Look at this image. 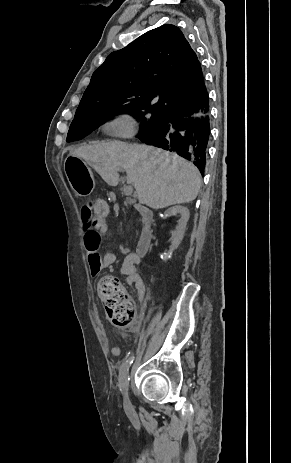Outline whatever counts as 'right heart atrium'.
I'll return each instance as SVG.
<instances>
[{
    "label": "right heart atrium",
    "mask_w": 291,
    "mask_h": 463,
    "mask_svg": "<svg viewBox=\"0 0 291 463\" xmlns=\"http://www.w3.org/2000/svg\"><path fill=\"white\" fill-rule=\"evenodd\" d=\"M107 131L116 137H128L135 132V121L129 114H119L107 123Z\"/></svg>",
    "instance_id": "obj_1"
}]
</instances>
